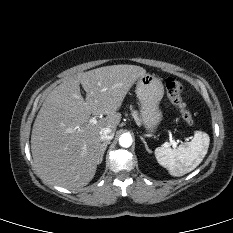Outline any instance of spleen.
I'll return each instance as SVG.
<instances>
[{
	"label": "spleen",
	"mask_w": 233,
	"mask_h": 233,
	"mask_svg": "<svg viewBox=\"0 0 233 233\" xmlns=\"http://www.w3.org/2000/svg\"><path fill=\"white\" fill-rule=\"evenodd\" d=\"M209 135L196 131L193 139L178 148L157 147L155 157L172 176H183L194 170L203 160L209 148Z\"/></svg>",
	"instance_id": "obj_1"
}]
</instances>
